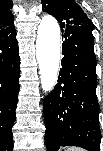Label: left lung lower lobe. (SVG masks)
I'll return each mask as SVG.
<instances>
[{
    "instance_id": "left-lung-lower-lobe-1",
    "label": "left lung lower lobe",
    "mask_w": 103,
    "mask_h": 151,
    "mask_svg": "<svg viewBox=\"0 0 103 151\" xmlns=\"http://www.w3.org/2000/svg\"><path fill=\"white\" fill-rule=\"evenodd\" d=\"M62 68L54 90L44 100L45 144L100 149L96 58L92 32L80 27L62 31Z\"/></svg>"
}]
</instances>
